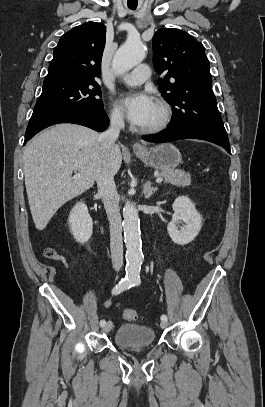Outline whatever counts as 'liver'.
<instances>
[{
  "mask_svg": "<svg viewBox=\"0 0 265 407\" xmlns=\"http://www.w3.org/2000/svg\"><path fill=\"white\" fill-rule=\"evenodd\" d=\"M98 137L90 128L59 124L42 131L26 145L25 186L38 230L45 229L63 204L94 185L104 162ZM106 162L115 175L122 163L118 145L108 153ZM77 174L81 176L76 177Z\"/></svg>",
  "mask_w": 265,
  "mask_h": 407,
  "instance_id": "obj_1",
  "label": "liver"
}]
</instances>
